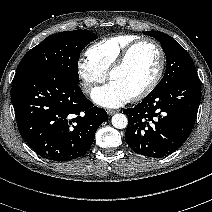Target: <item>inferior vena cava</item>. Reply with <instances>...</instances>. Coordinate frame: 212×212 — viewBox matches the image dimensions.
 I'll use <instances>...</instances> for the list:
<instances>
[{
	"instance_id": "obj_1",
	"label": "inferior vena cava",
	"mask_w": 212,
	"mask_h": 212,
	"mask_svg": "<svg viewBox=\"0 0 212 212\" xmlns=\"http://www.w3.org/2000/svg\"><path fill=\"white\" fill-rule=\"evenodd\" d=\"M84 88H85L86 91L90 90V86L89 85H84Z\"/></svg>"
}]
</instances>
